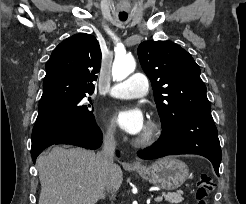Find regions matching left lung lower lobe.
<instances>
[{
    "label": "left lung lower lobe",
    "instance_id": "obj_1",
    "mask_svg": "<svg viewBox=\"0 0 246 204\" xmlns=\"http://www.w3.org/2000/svg\"><path fill=\"white\" fill-rule=\"evenodd\" d=\"M137 154L142 159L198 154L212 162L217 175L222 159L217 128L211 114L176 119L169 127L163 128L159 140L153 146Z\"/></svg>",
    "mask_w": 246,
    "mask_h": 204
}]
</instances>
